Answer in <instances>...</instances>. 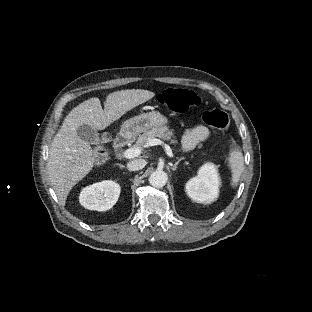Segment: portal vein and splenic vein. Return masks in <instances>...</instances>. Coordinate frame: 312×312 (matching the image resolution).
Returning <instances> with one entry per match:
<instances>
[{"label":"portal vein and splenic vein","mask_w":312,"mask_h":312,"mask_svg":"<svg viewBox=\"0 0 312 312\" xmlns=\"http://www.w3.org/2000/svg\"><path fill=\"white\" fill-rule=\"evenodd\" d=\"M151 145H161L165 151L166 154L169 158H175V155L172 152L171 147L166 144L164 141L158 139V138H154L151 143ZM140 154V150L139 149H127L126 151L123 152V158L125 159H131L134 157H137Z\"/></svg>","instance_id":"1"}]
</instances>
